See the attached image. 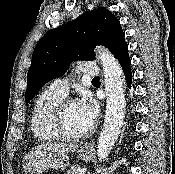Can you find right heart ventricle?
Instances as JSON below:
<instances>
[{
  "mask_svg": "<svg viewBox=\"0 0 175 174\" xmlns=\"http://www.w3.org/2000/svg\"><path fill=\"white\" fill-rule=\"evenodd\" d=\"M64 99L50 89L42 92L35 100L31 115V130L40 142H56L61 138L52 126V114L55 107Z\"/></svg>",
  "mask_w": 175,
  "mask_h": 174,
  "instance_id": "right-heart-ventricle-1",
  "label": "right heart ventricle"
}]
</instances>
